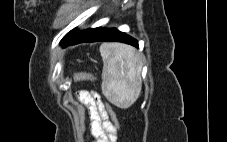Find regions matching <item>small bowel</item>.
Returning <instances> with one entry per match:
<instances>
[{"label":"small bowel","mask_w":227,"mask_h":142,"mask_svg":"<svg viewBox=\"0 0 227 142\" xmlns=\"http://www.w3.org/2000/svg\"><path fill=\"white\" fill-rule=\"evenodd\" d=\"M77 97L89 109L94 142H116L112 121L100 96L94 91L82 90L77 93Z\"/></svg>","instance_id":"small-bowel-1"}]
</instances>
